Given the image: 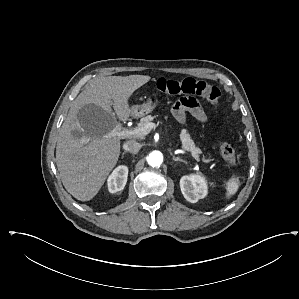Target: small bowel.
<instances>
[{
	"label": "small bowel",
	"mask_w": 299,
	"mask_h": 299,
	"mask_svg": "<svg viewBox=\"0 0 299 299\" xmlns=\"http://www.w3.org/2000/svg\"><path fill=\"white\" fill-rule=\"evenodd\" d=\"M171 111L174 118L180 123L185 122L187 112H189L199 122H205L207 120L204 110L199 105L197 100L192 97H184L179 99L174 103Z\"/></svg>",
	"instance_id": "c3829d8e"
}]
</instances>
